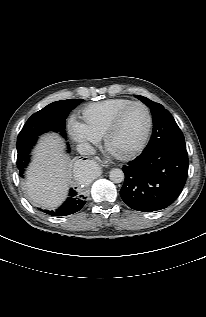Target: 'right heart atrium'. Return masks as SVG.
Segmentation results:
<instances>
[{
  "label": "right heart atrium",
  "mask_w": 206,
  "mask_h": 317,
  "mask_svg": "<svg viewBox=\"0 0 206 317\" xmlns=\"http://www.w3.org/2000/svg\"><path fill=\"white\" fill-rule=\"evenodd\" d=\"M69 134L77 143H95L98 140L88 132L82 123L75 121L69 123Z\"/></svg>",
  "instance_id": "1"
}]
</instances>
